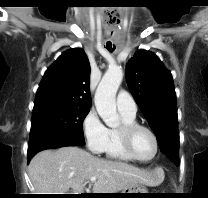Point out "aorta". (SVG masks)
<instances>
[{"mask_svg": "<svg viewBox=\"0 0 208 198\" xmlns=\"http://www.w3.org/2000/svg\"><path fill=\"white\" fill-rule=\"evenodd\" d=\"M123 72L119 67L107 70L102 77L96 92L95 106L104 123L111 128L119 125V115L116 109V93L122 82Z\"/></svg>", "mask_w": 208, "mask_h": 198, "instance_id": "762f6f07", "label": "aorta"}]
</instances>
